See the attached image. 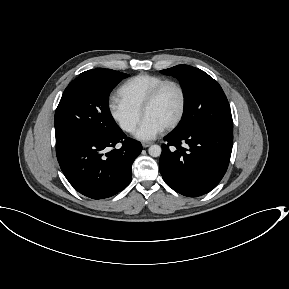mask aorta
I'll return each instance as SVG.
<instances>
[{
    "mask_svg": "<svg viewBox=\"0 0 289 289\" xmlns=\"http://www.w3.org/2000/svg\"><path fill=\"white\" fill-rule=\"evenodd\" d=\"M149 155L152 157H159L162 149L159 145H151L148 149Z\"/></svg>",
    "mask_w": 289,
    "mask_h": 289,
    "instance_id": "762f6f07",
    "label": "aorta"
}]
</instances>
